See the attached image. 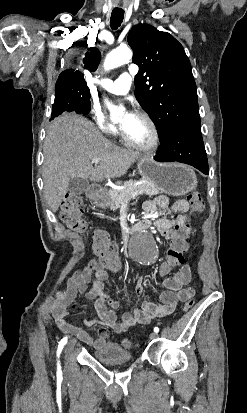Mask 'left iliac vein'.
I'll use <instances>...</instances> for the list:
<instances>
[{
  "label": "left iliac vein",
  "mask_w": 247,
  "mask_h": 413,
  "mask_svg": "<svg viewBox=\"0 0 247 413\" xmlns=\"http://www.w3.org/2000/svg\"><path fill=\"white\" fill-rule=\"evenodd\" d=\"M156 337H157V334H156L155 332H152V333H150V335H149V339H150V340L155 339Z\"/></svg>",
  "instance_id": "obj_1"
}]
</instances>
